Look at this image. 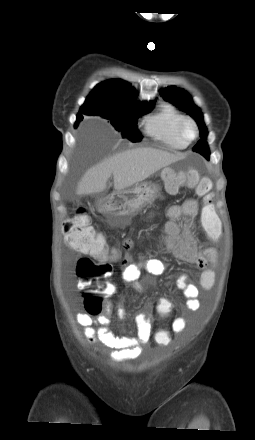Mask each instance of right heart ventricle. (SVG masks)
Segmentation results:
<instances>
[{
  "label": "right heart ventricle",
  "mask_w": 255,
  "mask_h": 440,
  "mask_svg": "<svg viewBox=\"0 0 255 440\" xmlns=\"http://www.w3.org/2000/svg\"><path fill=\"white\" fill-rule=\"evenodd\" d=\"M185 116L173 105H163L145 120V131L154 140L171 149H184L187 143L178 135V125Z\"/></svg>",
  "instance_id": "e07e8e85"
}]
</instances>
